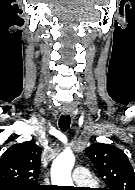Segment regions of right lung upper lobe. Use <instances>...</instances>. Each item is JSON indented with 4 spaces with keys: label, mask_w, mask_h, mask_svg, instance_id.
I'll list each match as a JSON object with an SVG mask.
<instances>
[{
    "label": "right lung upper lobe",
    "mask_w": 135,
    "mask_h": 190,
    "mask_svg": "<svg viewBox=\"0 0 135 190\" xmlns=\"http://www.w3.org/2000/svg\"><path fill=\"white\" fill-rule=\"evenodd\" d=\"M39 146L31 141L9 147L0 158V190H36L40 170Z\"/></svg>",
    "instance_id": "obj_1"
}]
</instances>
